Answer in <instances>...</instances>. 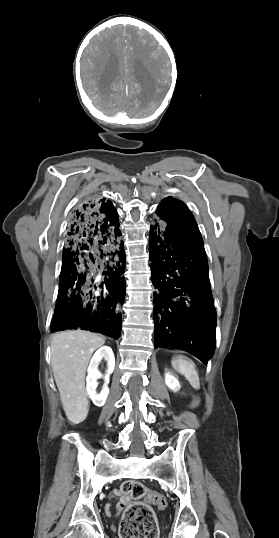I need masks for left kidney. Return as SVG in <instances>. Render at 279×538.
I'll return each mask as SVG.
<instances>
[{
  "mask_svg": "<svg viewBox=\"0 0 279 538\" xmlns=\"http://www.w3.org/2000/svg\"><path fill=\"white\" fill-rule=\"evenodd\" d=\"M165 384L168 386V388H170V390H173V392H178V390L181 388L177 378L172 376L170 372H166L165 374Z\"/></svg>",
  "mask_w": 279,
  "mask_h": 538,
  "instance_id": "obj_1",
  "label": "left kidney"
}]
</instances>
